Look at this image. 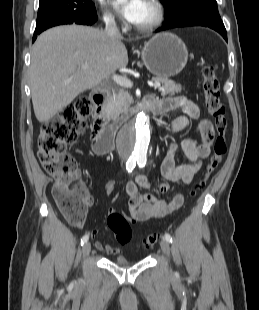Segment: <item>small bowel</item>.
I'll list each match as a JSON object with an SVG mask.
<instances>
[{"label": "small bowel", "mask_w": 259, "mask_h": 310, "mask_svg": "<svg viewBox=\"0 0 259 310\" xmlns=\"http://www.w3.org/2000/svg\"><path fill=\"white\" fill-rule=\"evenodd\" d=\"M158 103L164 111L181 109L184 115L174 120L167 129V153L162 163V173L165 181L152 182L144 175L137 174L134 180L127 182L125 186L126 194L129 197V215H125V217L133 223L160 219L182 207L184 198L181 194L175 195L170 202H166L165 200L158 199L151 193H141L140 189L155 187L159 192L166 193L170 190L172 182H181L186 185L191 184L195 175L201 169L203 160L209 156L214 141L215 134L212 123L208 120H201L198 126L201 142L198 143L192 138L184 139L181 142V149L189 160V163L177 165L174 155L178 144L171 136L185 129L192 120L198 119L200 108L195 102L183 97H168L159 100ZM115 187L116 183L114 181H108L104 185V191L107 195H110L114 192ZM92 203L93 199L91 197L89 206ZM110 212H114V210L110 209ZM76 225L83 226L84 219ZM91 235L95 237L97 231H91ZM95 247L99 251H104L110 255L120 253L119 247L103 244L98 240L95 242Z\"/></svg>", "instance_id": "c3829d8e"}]
</instances>
